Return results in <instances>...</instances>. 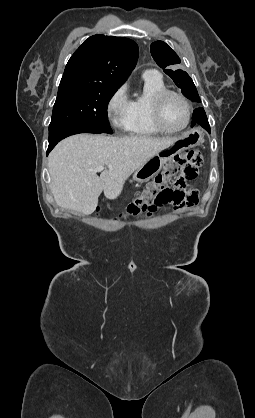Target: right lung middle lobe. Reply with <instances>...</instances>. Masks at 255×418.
Returning <instances> with one entry per match:
<instances>
[{"label":"right lung middle lobe","instance_id":"obj_1","mask_svg":"<svg viewBox=\"0 0 255 418\" xmlns=\"http://www.w3.org/2000/svg\"><path fill=\"white\" fill-rule=\"evenodd\" d=\"M118 88L85 85H59L49 131L66 126H84L112 134L107 106Z\"/></svg>","mask_w":255,"mask_h":418}]
</instances>
